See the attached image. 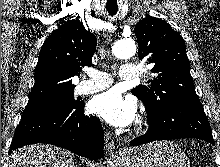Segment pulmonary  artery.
<instances>
[{
  "instance_id": "1",
  "label": "pulmonary artery",
  "mask_w": 220,
  "mask_h": 167,
  "mask_svg": "<svg viewBox=\"0 0 220 167\" xmlns=\"http://www.w3.org/2000/svg\"><path fill=\"white\" fill-rule=\"evenodd\" d=\"M140 73L141 70L138 66L130 63H123L120 68L119 76L121 79H136L140 76ZM88 76L90 79L79 85V94L87 95L104 90L114 82L110 75L96 69L90 70Z\"/></svg>"
}]
</instances>
